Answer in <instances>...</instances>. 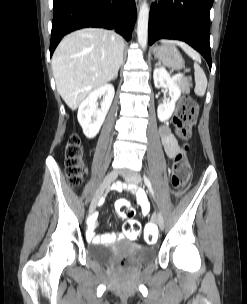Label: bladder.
I'll return each instance as SVG.
<instances>
[{"mask_svg": "<svg viewBox=\"0 0 247 304\" xmlns=\"http://www.w3.org/2000/svg\"><path fill=\"white\" fill-rule=\"evenodd\" d=\"M130 250L140 261H148L156 254L155 249L151 247L130 245ZM87 253L92 260L106 264L113 258L115 250L112 244H93L88 247Z\"/></svg>", "mask_w": 247, "mask_h": 304, "instance_id": "bladder-1", "label": "bladder"}]
</instances>
